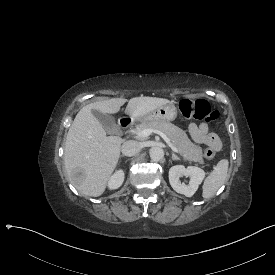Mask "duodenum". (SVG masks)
I'll list each match as a JSON object with an SVG mask.
<instances>
[{"mask_svg": "<svg viewBox=\"0 0 275 275\" xmlns=\"http://www.w3.org/2000/svg\"><path fill=\"white\" fill-rule=\"evenodd\" d=\"M130 123H131V119L129 117H122L119 120V125L123 129L127 128L130 125Z\"/></svg>", "mask_w": 275, "mask_h": 275, "instance_id": "obj_1", "label": "duodenum"}]
</instances>
